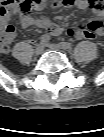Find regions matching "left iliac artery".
Instances as JSON below:
<instances>
[{
	"label": "left iliac artery",
	"instance_id": "obj_1",
	"mask_svg": "<svg viewBox=\"0 0 104 137\" xmlns=\"http://www.w3.org/2000/svg\"><path fill=\"white\" fill-rule=\"evenodd\" d=\"M63 46H64L65 49H70L71 48V45L69 43H64Z\"/></svg>",
	"mask_w": 104,
	"mask_h": 137
}]
</instances>
